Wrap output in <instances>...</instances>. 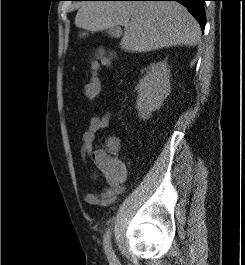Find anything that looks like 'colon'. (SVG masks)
<instances>
[{
  "label": "colon",
  "mask_w": 245,
  "mask_h": 265,
  "mask_svg": "<svg viewBox=\"0 0 245 265\" xmlns=\"http://www.w3.org/2000/svg\"><path fill=\"white\" fill-rule=\"evenodd\" d=\"M113 62L111 53L99 49L90 59L91 77L87 84L84 86V95L90 100H96L100 94V81L97 77V70L100 65L110 66ZM111 147L118 148L117 142L113 141ZM96 166L99 171L110 179L121 178L125 174L124 164L115 157V154L109 150H101L96 156Z\"/></svg>",
  "instance_id": "5ec220e1"
}]
</instances>
